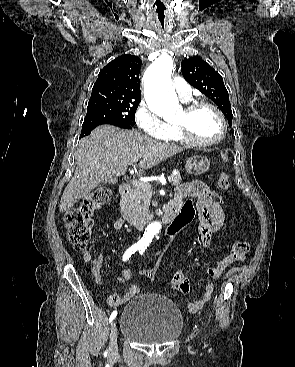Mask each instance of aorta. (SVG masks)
I'll return each mask as SVG.
<instances>
[{"label":"aorta","instance_id":"1","mask_svg":"<svg viewBox=\"0 0 295 367\" xmlns=\"http://www.w3.org/2000/svg\"><path fill=\"white\" fill-rule=\"evenodd\" d=\"M173 60L168 55L156 59L144 75L146 102L152 112L163 118L174 117L181 111L175 90L171 84ZM161 229L159 222L150 223L143 234V240L151 242Z\"/></svg>","mask_w":295,"mask_h":367}]
</instances>
